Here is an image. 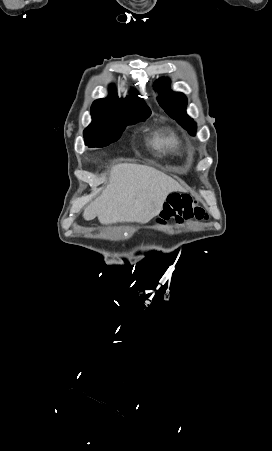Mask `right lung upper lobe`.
<instances>
[{"label": "right lung upper lobe", "mask_w": 272, "mask_h": 451, "mask_svg": "<svg viewBox=\"0 0 272 451\" xmlns=\"http://www.w3.org/2000/svg\"><path fill=\"white\" fill-rule=\"evenodd\" d=\"M139 108H148L145 102L138 97V92L132 91L130 96L122 99L116 95L113 85L110 86V95L105 99H98L93 102L91 111L93 112H125Z\"/></svg>", "instance_id": "1"}]
</instances>
